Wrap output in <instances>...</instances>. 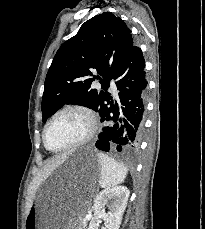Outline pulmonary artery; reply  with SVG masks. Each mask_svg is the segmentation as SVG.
I'll return each instance as SVG.
<instances>
[{
	"label": "pulmonary artery",
	"instance_id": "e3ab8cb5",
	"mask_svg": "<svg viewBox=\"0 0 205 229\" xmlns=\"http://www.w3.org/2000/svg\"><path fill=\"white\" fill-rule=\"evenodd\" d=\"M110 90H111L112 92H114V93H115L116 90H117L114 81H111V82H110Z\"/></svg>",
	"mask_w": 205,
	"mask_h": 229
}]
</instances>
